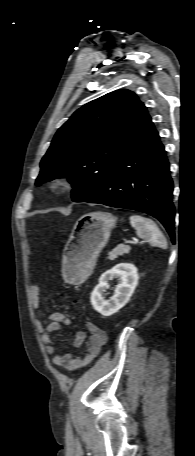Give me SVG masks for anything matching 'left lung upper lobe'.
<instances>
[{
    "label": "left lung upper lobe",
    "instance_id": "obj_1",
    "mask_svg": "<svg viewBox=\"0 0 195 456\" xmlns=\"http://www.w3.org/2000/svg\"><path fill=\"white\" fill-rule=\"evenodd\" d=\"M147 116L144 104L125 89L87 103L55 134L35 185L67 177L73 201H85L104 184Z\"/></svg>",
    "mask_w": 195,
    "mask_h": 456
}]
</instances>
